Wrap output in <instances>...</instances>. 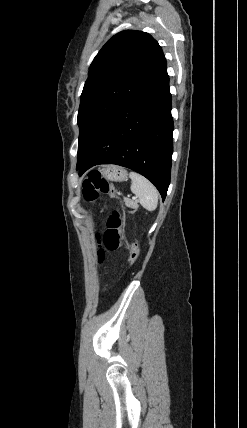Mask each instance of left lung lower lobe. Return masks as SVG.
Wrapping results in <instances>:
<instances>
[{
    "label": "left lung lower lobe",
    "instance_id": "1",
    "mask_svg": "<svg viewBox=\"0 0 247 428\" xmlns=\"http://www.w3.org/2000/svg\"><path fill=\"white\" fill-rule=\"evenodd\" d=\"M171 94L166 67L124 101L99 133L79 175L98 164L130 168L150 180L164 200L173 153Z\"/></svg>",
    "mask_w": 247,
    "mask_h": 428
}]
</instances>
